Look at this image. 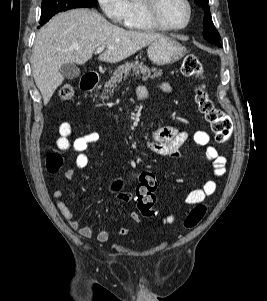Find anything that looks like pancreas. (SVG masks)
<instances>
[{
  "mask_svg": "<svg viewBox=\"0 0 267 301\" xmlns=\"http://www.w3.org/2000/svg\"><path fill=\"white\" fill-rule=\"evenodd\" d=\"M153 73V75H152ZM129 75L142 77V80H147L148 78H155L162 75V70H157L156 68H149L139 61L126 62L120 65L113 73L111 79L105 83L102 93V99H109L112 96L122 82V80L127 79Z\"/></svg>",
  "mask_w": 267,
  "mask_h": 301,
  "instance_id": "1",
  "label": "pancreas"
}]
</instances>
